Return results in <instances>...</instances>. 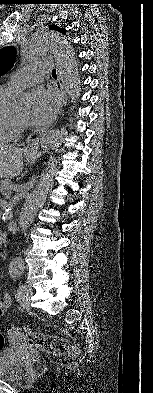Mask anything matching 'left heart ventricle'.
Listing matches in <instances>:
<instances>
[{
	"label": "left heart ventricle",
	"mask_w": 153,
	"mask_h": 393,
	"mask_svg": "<svg viewBox=\"0 0 153 393\" xmlns=\"http://www.w3.org/2000/svg\"><path fill=\"white\" fill-rule=\"evenodd\" d=\"M15 115L18 116L21 120L27 121L29 118V109L24 108L18 111Z\"/></svg>",
	"instance_id": "b2bd125f"
}]
</instances>
